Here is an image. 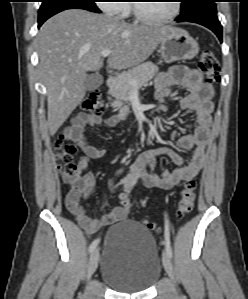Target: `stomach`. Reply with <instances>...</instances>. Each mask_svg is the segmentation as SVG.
Listing matches in <instances>:
<instances>
[{"instance_id":"1","label":"stomach","mask_w":248,"mask_h":299,"mask_svg":"<svg viewBox=\"0 0 248 299\" xmlns=\"http://www.w3.org/2000/svg\"><path fill=\"white\" fill-rule=\"evenodd\" d=\"M159 52L166 63L194 58L199 52V46L183 29L172 28L160 42Z\"/></svg>"}]
</instances>
